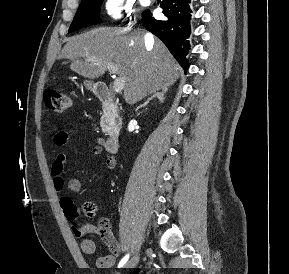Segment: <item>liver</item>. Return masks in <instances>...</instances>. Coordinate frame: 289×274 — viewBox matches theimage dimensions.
<instances>
[{
  "mask_svg": "<svg viewBox=\"0 0 289 274\" xmlns=\"http://www.w3.org/2000/svg\"><path fill=\"white\" fill-rule=\"evenodd\" d=\"M58 59H69L71 70L89 79L103 76L108 64L117 66L128 104L173 85L181 71L160 40L145 43L143 32L126 28L100 27L73 36Z\"/></svg>",
  "mask_w": 289,
  "mask_h": 274,
  "instance_id": "obj_1",
  "label": "liver"
}]
</instances>
